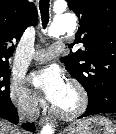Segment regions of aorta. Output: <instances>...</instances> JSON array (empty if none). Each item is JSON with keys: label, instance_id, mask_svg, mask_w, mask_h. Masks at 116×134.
<instances>
[{"label": "aorta", "instance_id": "aorta-1", "mask_svg": "<svg viewBox=\"0 0 116 134\" xmlns=\"http://www.w3.org/2000/svg\"><path fill=\"white\" fill-rule=\"evenodd\" d=\"M76 27V17L74 14L66 12L56 18L51 24L48 35L50 37H58L65 34L68 30ZM41 134H54L51 124L47 123L41 130Z\"/></svg>", "mask_w": 116, "mask_h": 134}]
</instances>
